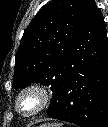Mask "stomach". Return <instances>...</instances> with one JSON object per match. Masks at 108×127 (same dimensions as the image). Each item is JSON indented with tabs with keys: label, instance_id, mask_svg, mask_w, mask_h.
Masks as SVG:
<instances>
[{
	"label": "stomach",
	"instance_id": "1",
	"mask_svg": "<svg viewBox=\"0 0 108 127\" xmlns=\"http://www.w3.org/2000/svg\"><path fill=\"white\" fill-rule=\"evenodd\" d=\"M39 127H59L58 124H43V125H40Z\"/></svg>",
	"mask_w": 108,
	"mask_h": 127
}]
</instances>
